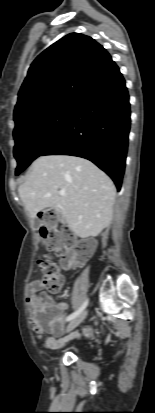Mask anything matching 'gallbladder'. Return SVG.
Wrapping results in <instances>:
<instances>
[{
	"mask_svg": "<svg viewBox=\"0 0 155 413\" xmlns=\"http://www.w3.org/2000/svg\"><path fill=\"white\" fill-rule=\"evenodd\" d=\"M40 224V222H37V225H39Z\"/></svg>",
	"mask_w": 155,
	"mask_h": 413,
	"instance_id": "gallbladder-1",
	"label": "gallbladder"
}]
</instances>
